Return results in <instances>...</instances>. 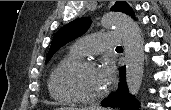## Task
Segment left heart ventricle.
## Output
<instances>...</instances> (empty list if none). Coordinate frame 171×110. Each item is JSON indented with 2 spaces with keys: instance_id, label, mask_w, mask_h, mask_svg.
Listing matches in <instances>:
<instances>
[{
  "instance_id": "obj_1",
  "label": "left heart ventricle",
  "mask_w": 171,
  "mask_h": 110,
  "mask_svg": "<svg viewBox=\"0 0 171 110\" xmlns=\"http://www.w3.org/2000/svg\"><path fill=\"white\" fill-rule=\"evenodd\" d=\"M65 83L73 92L85 97L97 96L107 87L99 70L89 68L71 71L65 77Z\"/></svg>"
}]
</instances>
